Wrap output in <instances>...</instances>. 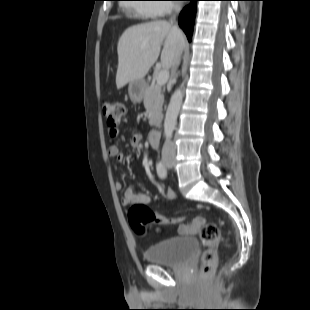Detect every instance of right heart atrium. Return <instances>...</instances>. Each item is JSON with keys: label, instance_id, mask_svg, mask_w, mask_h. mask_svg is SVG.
<instances>
[{"label": "right heart atrium", "instance_id": "obj_1", "mask_svg": "<svg viewBox=\"0 0 310 310\" xmlns=\"http://www.w3.org/2000/svg\"><path fill=\"white\" fill-rule=\"evenodd\" d=\"M173 0H157V4H154L153 7L157 10L158 15H164L173 10L174 6L172 3Z\"/></svg>", "mask_w": 310, "mask_h": 310}]
</instances>
